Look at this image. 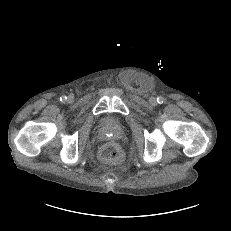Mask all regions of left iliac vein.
<instances>
[{
	"instance_id": "1",
	"label": "left iliac vein",
	"mask_w": 231,
	"mask_h": 231,
	"mask_svg": "<svg viewBox=\"0 0 231 231\" xmlns=\"http://www.w3.org/2000/svg\"><path fill=\"white\" fill-rule=\"evenodd\" d=\"M150 103L153 104V105L156 104V98L152 97V98L150 99Z\"/></svg>"
}]
</instances>
